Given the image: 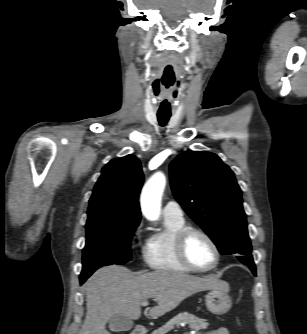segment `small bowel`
<instances>
[{
	"mask_svg": "<svg viewBox=\"0 0 307 334\" xmlns=\"http://www.w3.org/2000/svg\"><path fill=\"white\" fill-rule=\"evenodd\" d=\"M205 334H230V333H229V331H228L227 328H225V327H219V328H217L215 330H212V331H209V332H207Z\"/></svg>",
	"mask_w": 307,
	"mask_h": 334,
	"instance_id": "obj_1",
	"label": "small bowel"
}]
</instances>
